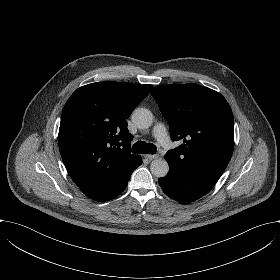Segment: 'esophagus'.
<instances>
[{
  "mask_svg": "<svg viewBox=\"0 0 280 280\" xmlns=\"http://www.w3.org/2000/svg\"><path fill=\"white\" fill-rule=\"evenodd\" d=\"M144 158H146L148 160H154V159L159 158V154H153V155L144 154Z\"/></svg>",
  "mask_w": 280,
  "mask_h": 280,
  "instance_id": "obj_1",
  "label": "esophagus"
}]
</instances>
